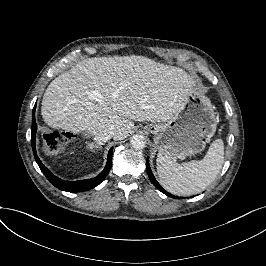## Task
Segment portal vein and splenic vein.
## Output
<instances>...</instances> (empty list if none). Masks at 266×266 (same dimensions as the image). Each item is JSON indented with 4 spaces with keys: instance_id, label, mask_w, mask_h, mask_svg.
I'll use <instances>...</instances> for the list:
<instances>
[{
    "instance_id": "portal-vein-and-splenic-vein-1",
    "label": "portal vein and splenic vein",
    "mask_w": 266,
    "mask_h": 266,
    "mask_svg": "<svg viewBox=\"0 0 266 266\" xmlns=\"http://www.w3.org/2000/svg\"><path fill=\"white\" fill-rule=\"evenodd\" d=\"M100 96L101 95L99 93H97L96 91H93L91 93H88L89 99L95 100L97 102H101L102 101Z\"/></svg>"
}]
</instances>
